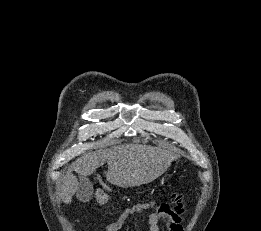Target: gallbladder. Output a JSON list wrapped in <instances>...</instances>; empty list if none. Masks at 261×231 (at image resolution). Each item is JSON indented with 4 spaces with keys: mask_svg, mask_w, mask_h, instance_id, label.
I'll return each mask as SVG.
<instances>
[{
    "mask_svg": "<svg viewBox=\"0 0 261 231\" xmlns=\"http://www.w3.org/2000/svg\"><path fill=\"white\" fill-rule=\"evenodd\" d=\"M93 193V185L87 177H80L79 179V189L77 192V198L79 200H87L89 196Z\"/></svg>",
    "mask_w": 261,
    "mask_h": 231,
    "instance_id": "obj_1",
    "label": "gallbladder"
}]
</instances>
